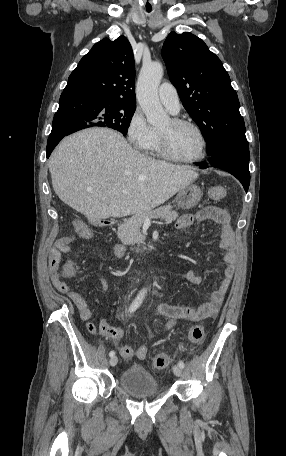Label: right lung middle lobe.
I'll list each match as a JSON object with an SVG mask.
<instances>
[{
  "label": "right lung middle lobe",
  "instance_id": "right-lung-middle-lobe-1",
  "mask_svg": "<svg viewBox=\"0 0 286 456\" xmlns=\"http://www.w3.org/2000/svg\"><path fill=\"white\" fill-rule=\"evenodd\" d=\"M135 105L114 103L103 98L83 96L75 110V121L71 132L92 127H109L121 132L124 136L133 114Z\"/></svg>",
  "mask_w": 286,
  "mask_h": 456
}]
</instances>
